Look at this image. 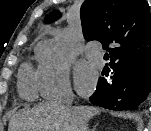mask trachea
<instances>
[{"mask_svg": "<svg viewBox=\"0 0 151 131\" xmlns=\"http://www.w3.org/2000/svg\"><path fill=\"white\" fill-rule=\"evenodd\" d=\"M104 59H105V60H108V59H109V54H108V53H105Z\"/></svg>", "mask_w": 151, "mask_h": 131, "instance_id": "1", "label": "trachea"}]
</instances>
